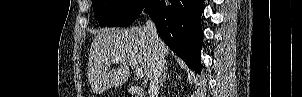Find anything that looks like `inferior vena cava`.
<instances>
[{
  "label": "inferior vena cava",
  "mask_w": 302,
  "mask_h": 97,
  "mask_svg": "<svg viewBox=\"0 0 302 97\" xmlns=\"http://www.w3.org/2000/svg\"><path fill=\"white\" fill-rule=\"evenodd\" d=\"M146 31L150 36L154 48V63L149 76V97H158L160 82L165 69L166 57L163 42L158 36L154 22L149 19L146 22Z\"/></svg>",
  "instance_id": "1"
}]
</instances>
